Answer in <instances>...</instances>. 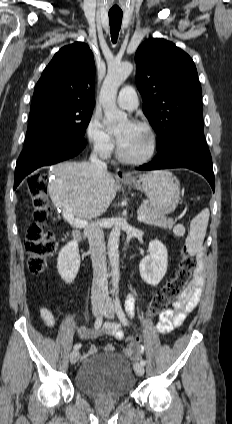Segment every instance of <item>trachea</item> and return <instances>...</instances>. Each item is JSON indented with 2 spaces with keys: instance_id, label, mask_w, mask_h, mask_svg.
<instances>
[{
  "instance_id": "obj_1",
  "label": "trachea",
  "mask_w": 232,
  "mask_h": 424,
  "mask_svg": "<svg viewBox=\"0 0 232 424\" xmlns=\"http://www.w3.org/2000/svg\"><path fill=\"white\" fill-rule=\"evenodd\" d=\"M122 12H109L110 32L112 42L116 43L122 22Z\"/></svg>"
}]
</instances>
